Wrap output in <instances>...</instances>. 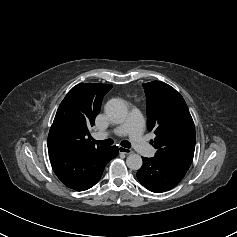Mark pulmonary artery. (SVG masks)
I'll return each mask as SVG.
<instances>
[{
  "mask_svg": "<svg viewBox=\"0 0 237 237\" xmlns=\"http://www.w3.org/2000/svg\"><path fill=\"white\" fill-rule=\"evenodd\" d=\"M143 127L144 120L142 115L138 111H132L125 123L111 132H97L95 136L97 139H103L110 134L116 136L128 135L138 153L145 157H153L156 149L145 141L142 135Z\"/></svg>",
  "mask_w": 237,
  "mask_h": 237,
  "instance_id": "e3ab8cb5",
  "label": "pulmonary artery"
}]
</instances>
